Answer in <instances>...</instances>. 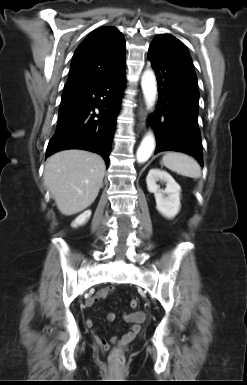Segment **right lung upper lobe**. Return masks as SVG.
<instances>
[{
  "label": "right lung upper lobe",
  "instance_id": "obj_1",
  "mask_svg": "<svg viewBox=\"0 0 247 385\" xmlns=\"http://www.w3.org/2000/svg\"><path fill=\"white\" fill-rule=\"evenodd\" d=\"M126 42L114 27L92 32L76 49L64 92L75 93L125 67Z\"/></svg>",
  "mask_w": 247,
  "mask_h": 385
}]
</instances>
